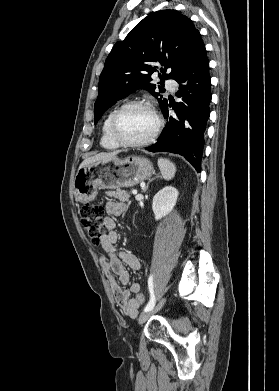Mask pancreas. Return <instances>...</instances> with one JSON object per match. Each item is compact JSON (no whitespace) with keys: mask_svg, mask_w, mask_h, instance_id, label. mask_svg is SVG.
<instances>
[{"mask_svg":"<svg viewBox=\"0 0 279 391\" xmlns=\"http://www.w3.org/2000/svg\"><path fill=\"white\" fill-rule=\"evenodd\" d=\"M106 195L111 198L118 199L120 201H128L131 197L130 192L124 191V190H117V191H108L106 192Z\"/></svg>","mask_w":279,"mask_h":391,"instance_id":"obj_1","label":"pancreas"}]
</instances>
